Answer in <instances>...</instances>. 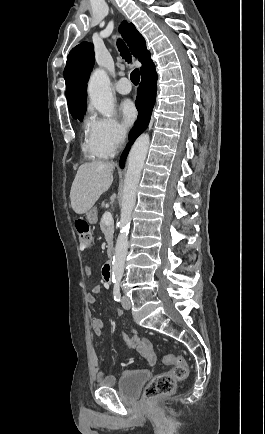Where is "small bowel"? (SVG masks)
<instances>
[{
    "label": "small bowel",
    "mask_w": 265,
    "mask_h": 434,
    "mask_svg": "<svg viewBox=\"0 0 265 434\" xmlns=\"http://www.w3.org/2000/svg\"><path fill=\"white\" fill-rule=\"evenodd\" d=\"M102 288L100 285H95L90 292L86 294V302L88 305H93L95 303L96 295L100 294ZM118 316L121 318L123 316V310L121 306L117 307ZM104 322L102 318L93 317L91 319V328L92 333L95 336H101L103 332ZM132 336L128 337L126 335H122V340L130 349L136 350L140 354L144 355L150 362L154 361V351L153 345L151 341L147 337L140 336L138 331L134 328H131ZM94 365V375L100 380L101 387H112L113 380L112 378H103L104 373L101 370L99 359L97 356L93 358Z\"/></svg>",
    "instance_id": "small-bowel-1"
}]
</instances>
